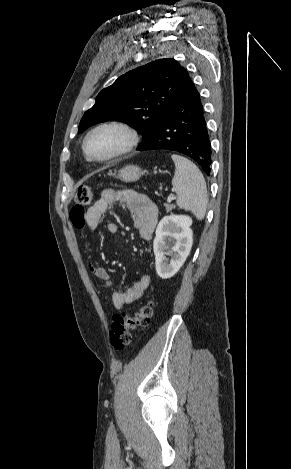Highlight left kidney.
<instances>
[{
	"mask_svg": "<svg viewBox=\"0 0 291 469\" xmlns=\"http://www.w3.org/2000/svg\"><path fill=\"white\" fill-rule=\"evenodd\" d=\"M191 225L192 219L186 215H170L159 222L153 250L160 278L173 277L186 261L193 244ZM166 255L172 257L169 262Z\"/></svg>",
	"mask_w": 291,
	"mask_h": 469,
	"instance_id": "obj_1",
	"label": "left kidney"
}]
</instances>
